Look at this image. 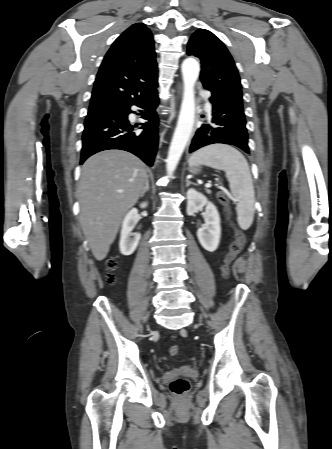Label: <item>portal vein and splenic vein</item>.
<instances>
[{
    "label": "portal vein and splenic vein",
    "instance_id": "1",
    "mask_svg": "<svg viewBox=\"0 0 332 449\" xmlns=\"http://www.w3.org/2000/svg\"><path fill=\"white\" fill-rule=\"evenodd\" d=\"M205 187L209 188V187H211V184H210V183H207V184L205 185Z\"/></svg>",
    "mask_w": 332,
    "mask_h": 449
}]
</instances>
